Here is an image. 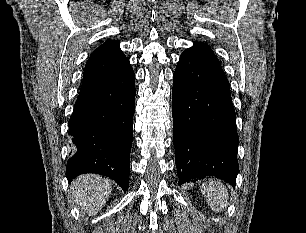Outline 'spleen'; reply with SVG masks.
Here are the masks:
<instances>
[{
  "label": "spleen",
  "instance_id": "3e777b00",
  "mask_svg": "<svg viewBox=\"0 0 306 233\" xmlns=\"http://www.w3.org/2000/svg\"><path fill=\"white\" fill-rule=\"evenodd\" d=\"M201 192L213 211L221 212L227 205L229 195L221 181L208 179L202 184Z\"/></svg>",
  "mask_w": 306,
  "mask_h": 233
}]
</instances>
